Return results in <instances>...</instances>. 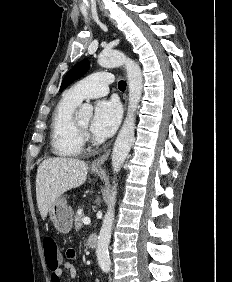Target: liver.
I'll return each instance as SVG.
<instances>
[{"label": "liver", "mask_w": 232, "mask_h": 282, "mask_svg": "<svg viewBox=\"0 0 232 282\" xmlns=\"http://www.w3.org/2000/svg\"><path fill=\"white\" fill-rule=\"evenodd\" d=\"M88 165L74 158H48L38 167L36 198L42 219L53 203L66 191L81 186L87 178Z\"/></svg>", "instance_id": "obj_1"}]
</instances>
